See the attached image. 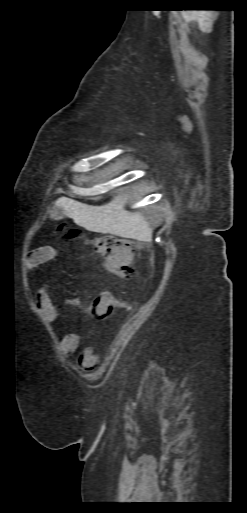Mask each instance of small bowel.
I'll return each mask as SVG.
<instances>
[{
    "label": "small bowel",
    "instance_id": "c3829d8e",
    "mask_svg": "<svg viewBox=\"0 0 247 513\" xmlns=\"http://www.w3.org/2000/svg\"><path fill=\"white\" fill-rule=\"evenodd\" d=\"M53 249L51 247H43L33 251L26 260L25 268L27 274H30L35 268L39 265L48 261L53 255ZM49 287L48 283L43 284L35 293V300L39 307L42 319L48 323L52 324L56 321L58 313L56 307L54 306L50 295H49ZM98 300V299H95ZM91 304L85 303L81 299H73L72 305L81 309L85 313L92 315L91 313ZM80 338L76 333H67L60 340V353L63 357H68L73 354L79 345ZM97 356L92 350H87L83 356L81 357V368L84 370H89L94 367Z\"/></svg>",
    "mask_w": 247,
    "mask_h": 513
}]
</instances>
